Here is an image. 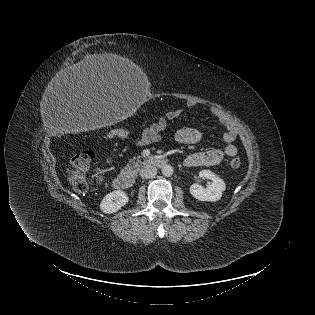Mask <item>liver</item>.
I'll return each instance as SVG.
<instances>
[{
	"instance_id": "1",
	"label": "liver",
	"mask_w": 315,
	"mask_h": 315,
	"mask_svg": "<svg viewBox=\"0 0 315 315\" xmlns=\"http://www.w3.org/2000/svg\"><path fill=\"white\" fill-rule=\"evenodd\" d=\"M141 75L129 59L116 54L101 53L87 56L80 62L65 68L59 79L68 84L103 83L107 81H131Z\"/></svg>"
}]
</instances>
